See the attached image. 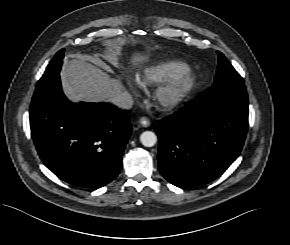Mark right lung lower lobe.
Instances as JSON below:
<instances>
[{"label":"right lung lower lobe","instance_id":"98d812e1","mask_svg":"<svg viewBox=\"0 0 290 245\" xmlns=\"http://www.w3.org/2000/svg\"><path fill=\"white\" fill-rule=\"evenodd\" d=\"M31 134L43 163L61 180L100 188L120 172L132 126L109 103H71L59 74L39 80L30 107Z\"/></svg>","mask_w":290,"mask_h":245}]
</instances>
